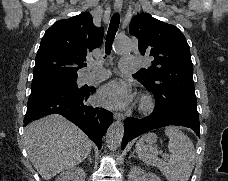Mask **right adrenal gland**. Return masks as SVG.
I'll use <instances>...</instances> for the list:
<instances>
[{
	"mask_svg": "<svg viewBox=\"0 0 228 181\" xmlns=\"http://www.w3.org/2000/svg\"><path fill=\"white\" fill-rule=\"evenodd\" d=\"M87 159H89L90 163H92L91 155H89V157H87Z\"/></svg>",
	"mask_w": 228,
	"mask_h": 181,
	"instance_id": "obj_1",
	"label": "right adrenal gland"
}]
</instances>
